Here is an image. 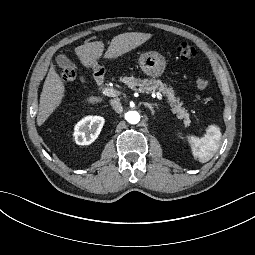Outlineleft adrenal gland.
Returning a JSON list of instances; mask_svg holds the SVG:
<instances>
[{
    "instance_id": "1",
    "label": "left adrenal gland",
    "mask_w": 255,
    "mask_h": 255,
    "mask_svg": "<svg viewBox=\"0 0 255 255\" xmlns=\"http://www.w3.org/2000/svg\"><path fill=\"white\" fill-rule=\"evenodd\" d=\"M146 107H148L151 110L152 115H154L155 111L153 109V105L151 103H144Z\"/></svg>"
}]
</instances>
